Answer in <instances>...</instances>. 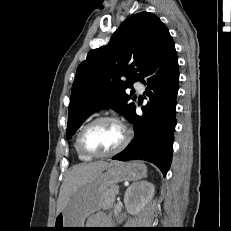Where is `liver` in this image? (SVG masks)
<instances>
[{
	"instance_id": "liver-1",
	"label": "liver",
	"mask_w": 231,
	"mask_h": 231,
	"mask_svg": "<svg viewBox=\"0 0 231 231\" xmlns=\"http://www.w3.org/2000/svg\"><path fill=\"white\" fill-rule=\"evenodd\" d=\"M108 165L104 161H96L91 163H81L73 166L69 170L60 187L59 198L57 201V214L62 212L70 198V196L97 172L104 169Z\"/></svg>"
}]
</instances>
